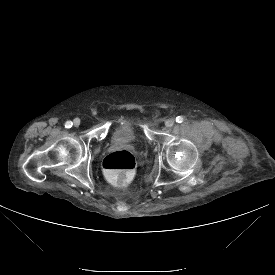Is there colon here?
Wrapping results in <instances>:
<instances>
[{
	"instance_id": "obj_1",
	"label": "colon",
	"mask_w": 275,
	"mask_h": 275,
	"mask_svg": "<svg viewBox=\"0 0 275 275\" xmlns=\"http://www.w3.org/2000/svg\"><path fill=\"white\" fill-rule=\"evenodd\" d=\"M136 161L133 154L127 150L110 153L103 161L106 175L116 184L130 183L135 175Z\"/></svg>"
}]
</instances>
